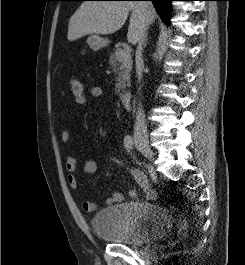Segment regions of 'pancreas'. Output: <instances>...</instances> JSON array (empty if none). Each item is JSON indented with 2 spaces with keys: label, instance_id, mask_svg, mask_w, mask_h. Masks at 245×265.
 Returning a JSON list of instances; mask_svg holds the SVG:
<instances>
[{
  "label": "pancreas",
  "instance_id": "cf45deb5",
  "mask_svg": "<svg viewBox=\"0 0 245 265\" xmlns=\"http://www.w3.org/2000/svg\"><path fill=\"white\" fill-rule=\"evenodd\" d=\"M122 48H116L113 53L110 54L109 64L114 69L116 77L115 92L121 94L127 86H130V73L132 70V58L130 55L122 57L120 53Z\"/></svg>",
  "mask_w": 245,
  "mask_h": 265
}]
</instances>
